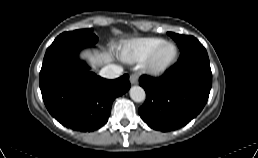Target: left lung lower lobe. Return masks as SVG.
Listing matches in <instances>:
<instances>
[{
    "label": "left lung lower lobe",
    "mask_w": 258,
    "mask_h": 158,
    "mask_svg": "<svg viewBox=\"0 0 258 158\" xmlns=\"http://www.w3.org/2000/svg\"><path fill=\"white\" fill-rule=\"evenodd\" d=\"M146 101L140 117L151 128L162 132L185 126L205 106L212 86L208 54L199 42L181 51L178 62L163 76L140 77Z\"/></svg>",
    "instance_id": "left-lung-lower-lobe-1"
}]
</instances>
